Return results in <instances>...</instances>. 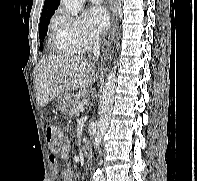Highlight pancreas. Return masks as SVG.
<instances>
[{
  "label": "pancreas",
  "instance_id": "1",
  "mask_svg": "<svg viewBox=\"0 0 197 181\" xmlns=\"http://www.w3.org/2000/svg\"><path fill=\"white\" fill-rule=\"evenodd\" d=\"M84 96L83 92H79L75 95V100L73 101L71 107H70V111L69 114L71 117H75L78 115V108L80 106H83L82 101L80 100V98Z\"/></svg>",
  "mask_w": 197,
  "mask_h": 181
}]
</instances>
